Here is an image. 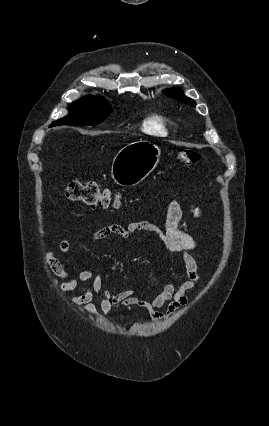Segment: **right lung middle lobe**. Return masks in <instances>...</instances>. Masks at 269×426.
Masks as SVG:
<instances>
[{"mask_svg": "<svg viewBox=\"0 0 269 426\" xmlns=\"http://www.w3.org/2000/svg\"><path fill=\"white\" fill-rule=\"evenodd\" d=\"M110 104L100 98H82L70 106L69 115L53 122L54 126L63 124L97 125L111 113Z\"/></svg>", "mask_w": 269, "mask_h": 426, "instance_id": "right-lung-middle-lobe-1", "label": "right lung middle lobe"}]
</instances>
